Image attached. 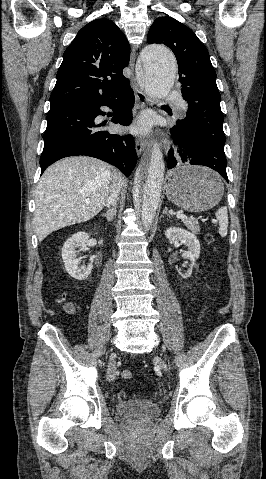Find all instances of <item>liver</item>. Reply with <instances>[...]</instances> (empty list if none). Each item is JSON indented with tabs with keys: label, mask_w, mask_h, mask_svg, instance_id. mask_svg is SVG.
I'll return each instance as SVG.
<instances>
[{
	"label": "liver",
	"mask_w": 266,
	"mask_h": 479,
	"mask_svg": "<svg viewBox=\"0 0 266 479\" xmlns=\"http://www.w3.org/2000/svg\"><path fill=\"white\" fill-rule=\"evenodd\" d=\"M115 172L107 163L87 156L69 157L51 165L36 189L34 222L38 240L97 215L107 201Z\"/></svg>",
	"instance_id": "liver-1"
}]
</instances>
